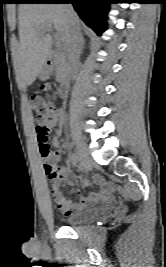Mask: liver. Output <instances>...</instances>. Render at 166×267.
Listing matches in <instances>:
<instances>
[{"label": "liver", "mask_w": 166, "mask_h": 267, "mask_svg": "<svg viewBox=\"0 0 166 267\" xmlns=\"http://www.w3.org/2000/svg\"><path fill=\"white\" fill-rule=\"evenodd\" d=\"M18 20L16 78L23 86H30L51 56L52 39L44 29L53 25L67 44V16L61 4L26 3L18 7Z\"/></svg>", "instance_id": "6515ba94"}]
</instances>
